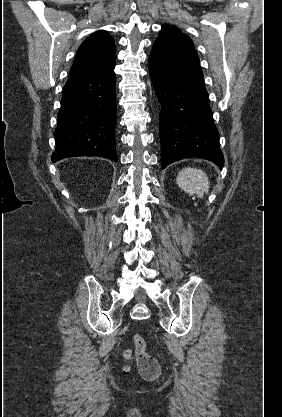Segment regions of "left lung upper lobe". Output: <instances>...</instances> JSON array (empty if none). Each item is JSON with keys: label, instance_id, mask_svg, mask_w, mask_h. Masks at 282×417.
Masks as SVG:
<instances>
[{"label": "left lung upper lobe", "instance_id": "obj_1", "mask_svg": "<svg viewBox=\"0 0 282 417\" xmlns=\"http://www.w3.org/2000/svg\"><path fill=\"white\" fill-rule=\"evenodd\" d=\"M155 43L179 44L182 46L194 48L192 40L187 35L180 33L176 27L169 24H164L162 26V31L160 32L159 37Z\"/></svg>", "mask_w": 282, "mask_h": 417}]
</instances>
